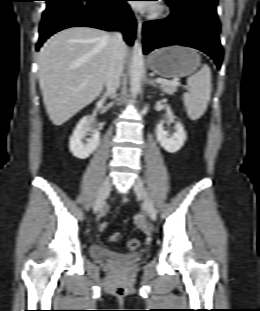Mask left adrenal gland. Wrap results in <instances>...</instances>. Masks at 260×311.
<instances>
[{
  "mask_svg": "<svg viewBox=\"0 0 260 311\" xmlns=\"http://www.w3.org/2000/svg\"><path fill=\"white\" fill-rule=\"evenodd\" d=\"M148 84H150V85H152V86H154V87H157V84L153 81L152 78H149V79H148Z\"/></svg>",
  "mask_w": 260,
  "mask_h": 311,
  "instance_id": "1",
  "label": "left adrenal gland"
}]
</instances>
